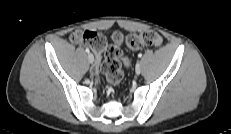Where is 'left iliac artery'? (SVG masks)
I'll use <instances>...</instances> for the list:
<instances>
[{"instance_id":"1","label":"left iliac artery","mask_w":231,"mask_h":134,"mask_svg":"<svg viewBox=\"0 0 231 134\" xmlns=\"http://www.w3.org/2000/svg\"><path fill=\"white\" fill-rule=\"evenodd\" d=\"M138 57L141 58V57H142V53H139V54H138Z\"/></svg>"}]
</instances>
